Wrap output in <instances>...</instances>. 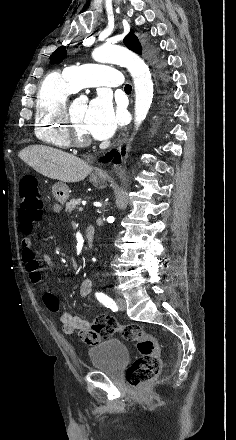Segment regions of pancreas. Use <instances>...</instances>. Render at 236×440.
<instances>
[{"label":"pancreas","instance_id":"cf45deb5","mask_svg":"<svg viewBox=\"0 0 236 440\" xmlns=\"http://www.w3.org/2000/svg\"><path fill=\"white\" fill-rule=\"evenodd\" d=\"M81 203V199H71L67 204H66V208L65 211L70 214L75 208L76 206L80 205Z\"/></svg>","mask_w":236,"mask_h":440}]
</instances>
